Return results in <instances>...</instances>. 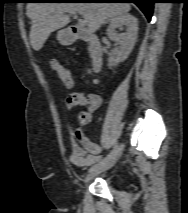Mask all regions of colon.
I'll use <instances>...</instances> for the list:
<instances>
[{
  "label": "colon",
  "instance_id": "colon-1",
  "mask_svg": "<svg viewBox=\"0 0 188 213\" xmlns=\"http://www.w3.org/2000/svg\"><path fill=\"white\" fill-rule=\"evenodd\" d=\"M51 67L59 79L68 87L73 86V79L68 73L67 69L58 61H51Z\"/></svg>",
  "mask_w": 188,
  "mask_h": 213
}]
</instances>
